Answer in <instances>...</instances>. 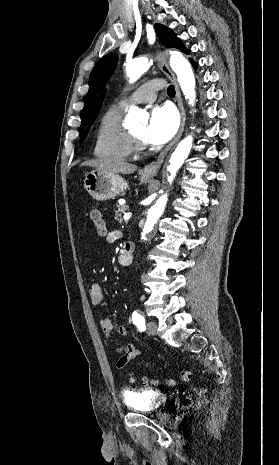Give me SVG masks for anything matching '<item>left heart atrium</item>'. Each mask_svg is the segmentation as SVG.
Segmentation results:
<instances>
[{"label":"left heart atrium","instance_id":"obj_1","mask_svg":"<svg viewBox=\"0 0 279 465\" xmlns=\"http://www.w3.org/2000/svg\"><path fill=\"white\" fill-rule=\"evenodd\" d=\"M177 128L178 117L172 107H154L144 131V140L152 145L164 144L175 135Z\"/></svg>","mask_w":279,"mask_h":465}]
</instances>
